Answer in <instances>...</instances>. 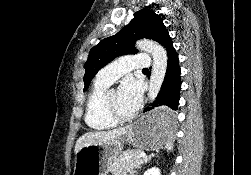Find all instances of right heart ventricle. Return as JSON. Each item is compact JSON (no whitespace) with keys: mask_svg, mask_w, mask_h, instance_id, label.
<instances>
[{"mask_svg":"<svg viewBox=\"0 0 251 175\" xmlns=\"http://www.w3.org/2000/svg\"><path fill=\"white\" fill-rule=\"evenodd\" d=\"M109 84L98 79L92 84L85 102V123L95 131H105L116 125V120L108 116L103 108V97Z\"/></svg>","mask_w":251,"mask_h":175,"instance_id":"e07e8e85","label":"right heart ventricle"}]
</instances>
